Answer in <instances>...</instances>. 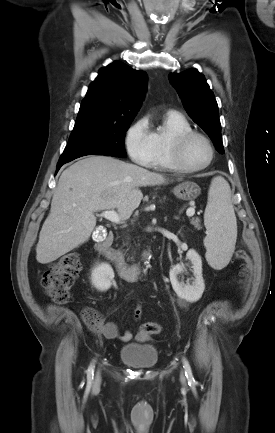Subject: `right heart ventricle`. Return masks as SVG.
<instances>
[{
    "instance_id": "right-heart-ventricle-1",
    "label": "right heart ventricle",
    "mask_w": 275,
    "mask_h": 433,
    "mask_svg": "<svg viewBox=\"0 0 275 433\" xmlns=\"http://www.w3.org/2000/svg\"><path fill=\"white\" fill-rule=\"evenodd\" d=\"M189 121L180 113L167 112L161 124L151 130L153 153L149 166L158 170L176 171L170 157L172 140L178 135L191 131Z\"/></svg>"
}]
</instances>
